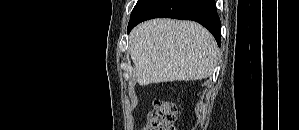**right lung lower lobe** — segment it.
<instances>
[{"label":"right lung lower lobe","mask_w":299,"mask_h":130,"mask_svg":"<svg viewBox=\"0 0 299 130\" xmlns=\"http://www.w3.org/2000/svg\"><path fill=\"white\" fill-rule=\"evenodd\" d=\"M193 20L206 27L221 43V22L215 0H148L130 19L128 32L138 23L152 18Z\"/></svg>","instance_id":"obj_1"}]
</instances>
